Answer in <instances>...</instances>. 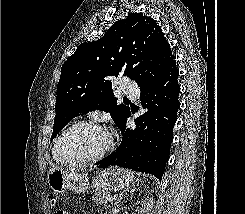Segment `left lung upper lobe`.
<instances>
[{
	"label": "left lung upper lobe",
	"instance_id": "left-lung-upper-lobe-1",
	"mask_svg": "<svg viewBox=\"0 0 245 214\" xmlns=\"http://www.w3.org/2000/svg\"><path fill=\"white\" fill-rule=\"evenodd\" d=\"M173 64L175 56L153 18L131 13L117 21L99 40L79 45L63 64L51 140L74 117L95 109L109 112L120 128L130 109L117 105L112 80L126 75L143 90Z\"/></svg>",
	"mask_w": 245,
	"mask_h": 214
}]
</instances>
